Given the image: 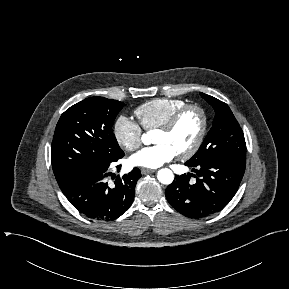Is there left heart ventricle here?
Instances as JSON below:
<instances>
[{
	"label": "left heart ventricle",
	"instance_id": "obj_1",
	"mask_svg": "<svg viewBox=\"0 0 289 289\" xmlns=\"http://www.w3.org/2000/svg\"><path fill=\"white\" fill-rule=\"evenodd\" d=\"M201 118L196 111L187 112L171 132L157 131L154 135V143H165L171 146L176 153L188 149L196 139L200 130Z\"/></svg>",
	"mask_w": 289,
	"mask_h": 289
}]
</instances>
